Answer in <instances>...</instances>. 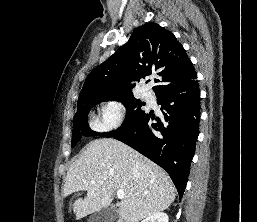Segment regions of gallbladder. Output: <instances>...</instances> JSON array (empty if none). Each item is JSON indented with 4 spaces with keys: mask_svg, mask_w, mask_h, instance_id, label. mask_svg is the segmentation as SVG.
Listing matches in <instances>:
<instances>
[{
    "mask_svg": "<svg viewBox=\"0 0 257 222\" xmlns=\"http://www.w3.org/2000/svg\"><path fill=\"white\" fill-rule=\"evenodd\" d=\"M117 209L115 206L106 207L95 212L88 222H114L117 218Z\"/></svg>",
    "mask_w": 257,
    "mask_h": 222,
    "instance_id": "bac80fb5",
    "label": "gallbladder"
}]
</instances>
